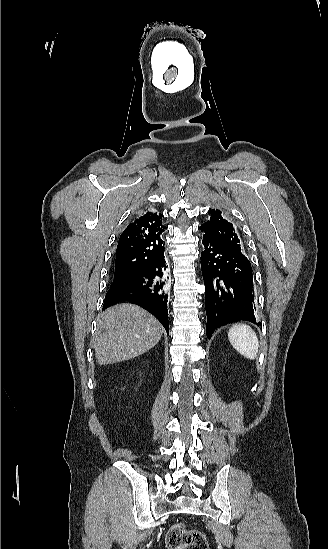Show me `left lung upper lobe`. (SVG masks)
Wrapping results in <instances>:
<instances>
[{
	"instance_id": "1",
	"label": "left lung upper lobe",
	"mask_w": 328,
	"mask_h": 549,
	"mask_svg": "<svg viewBox=\"0 0 328 549\" xmlns=\"http://www.w3.org/2000/svg\"><path fill=\"white\" fill-rule=\"evenodd\" d=\"M208 213L209 220L199 227L204 236L241 252L240 239L233 224L223 218L222 212L218 209L210 210Z\"/></svg>"
}]
</instances>
